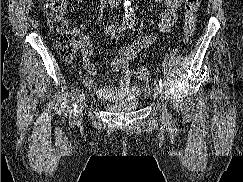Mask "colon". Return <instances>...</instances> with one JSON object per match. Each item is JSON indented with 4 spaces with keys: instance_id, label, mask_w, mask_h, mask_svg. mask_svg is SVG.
Instances as JSON below:
<instances>
[{
    "instance_id": "colon-1",
    "label": "colon",
    "mask_w": 243,
    "mask_h": 182,
    "mask_svg": "<svg viewBox=\"0 0 243 182\" xmlns=\"http://www.w3.org/2000/svg\"><path fill=\"white\" fill-rule=\"evenodd\" d=\"M200 0H185V24L184 41L187 43L195 34L196 17L200 8ZM44 13L47 17L48 25L54 32V41L61 56L66 60H71L75 52L74 35L68 29L67 21V0H46ZM151 72L146 67L136 70V77L139 80L147 81Z\"/></svg>"
}]
</instances>
